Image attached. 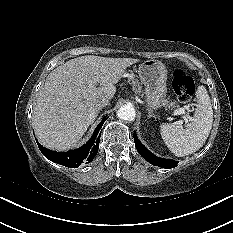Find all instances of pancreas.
I'll list each match as a JSON object with an SVG mask.
<instances>
[{"mask_svg": "<svg viewBox=\"0 0 233 233\" xmlns=\"http://www.w3.org/2000/svg\"><path fill=\"white\" fill-rule=\"evenodd\" d=\"M132 76L133 77L130 79V81L132 83L133 89L135 90V92H137V93L140 94L141 90H142V86L140 85L139 81L137 79H135V76L134 75H132ZM164 106H166V107H172V108L178 107V105H176L175 101L169 102L166 99L164 101Z\"/></svg>", "mask_w": 233, "mask_h": 233, "instance_id": "1", "label": "pancreas"}]
</instances>
